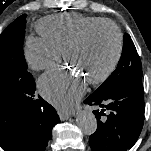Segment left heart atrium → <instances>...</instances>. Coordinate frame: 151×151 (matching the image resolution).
I'll list each match as a JSON object with an SVG mask.
<instances>
[{"label":"left heart atrium","mask_w":151,"mask_h":151,"mask_svg":"<svg viewBox=\"0 0 151 151\" xmlns=\"http://www.w3.org/2000/svg\"><path fill=\"white\" fill-rule=\"evenodd\" d=\"M40 93L61 110L74 106L86 90L87 80L72 69L56 68L39 79Z\"/></svg>","instance_id":"obj_1"}]
</instances>
